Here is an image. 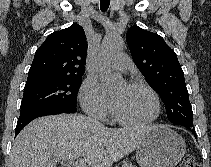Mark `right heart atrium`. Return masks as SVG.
<instances>
[{"label":"right heart atrium","mask_w":211,"mask_h":167,"mask_svg":"<svg viewBox=\"0 0 211 167\" xmlns=\"http://www.w3.org/2000/svg\"><path fill=\"white\" fill-rule=\"evenodd\" d=\"M80 101L83 109L90 115L107 119L111 108L106 97L101 93L94 78H87L80 89Z\"/></svg>","instance_id":"d8ad5b80"}]
</instances>
